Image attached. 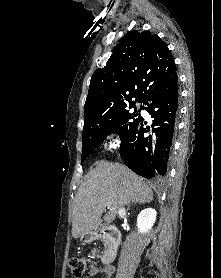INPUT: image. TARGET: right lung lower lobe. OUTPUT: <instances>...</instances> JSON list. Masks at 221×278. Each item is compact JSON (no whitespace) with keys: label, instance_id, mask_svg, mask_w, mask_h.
Returning a JSON list of instances; mask_svg holds the SVG:
<instances>
[{"label":"right lung lower lobe","instance_id":"obj_1","mask_svg":"<svg viewBox=\"0 0 221 278\" xmlns=\"http://www.w3.org/2000/svg\"><path fill=\"white\" fill-rule=\"evenodd\" d=\"M178 77L175 73L152 89L143 101L154 119L152 133L143 118L121 142L120 154L126 165L145 178H160L167 172L178 117Z\"/></svg>","mask_w":221,"mask_h":278}]
</instances>
